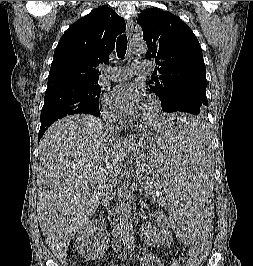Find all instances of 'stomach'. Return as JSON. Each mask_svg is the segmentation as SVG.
Masks as SVG:
<instances>
[{"mask_svg": "<svg viewBox=\"0 0 253 266\" xmlns=\"http://www.w3.org/2000/svg\"><path fill=\"white\" fill-rule=\"evenodd\" d=\"M156 145H159L158 134L154 136L151 142L140 139L139 142L130 145L129 150L138 160L149 163V160H154L152 153L153 150H156Z\"/></svg>", "mask_w": 253, "mask_h": 266, "instance_id": "stomach-1", "label": "stomach"}]
</instances>
